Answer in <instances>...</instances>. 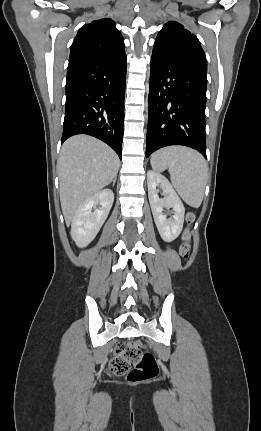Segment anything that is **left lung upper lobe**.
<instances>
[{"label": "left lung upper lobe", "mask_w": 261, "mask_h": 431, "mask_svg": "<svg viewBox=\"0 0 261 431\" xmlns=\"http://www.w3.org/2000/svg\"><path fill=\"white\" fill-rule=\"evenodd\" d=\"M153 51L207 71L206 56L199 40L176 21H169L163 26Z\"/></svg>", "instance_id": "obj_1"}]
</instances>
